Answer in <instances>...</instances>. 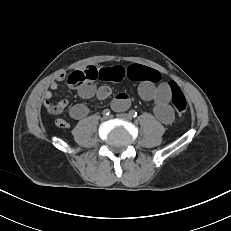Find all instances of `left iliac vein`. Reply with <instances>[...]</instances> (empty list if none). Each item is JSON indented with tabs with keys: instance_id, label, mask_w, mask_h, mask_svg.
<instances>
[{
	"instance_id": "obj_1",
	"label": "left iliac vein",
	"mask_w": 231,
	"mask_h": 231,
	"mask_svg": "<svg viewBox=\"0 0 231 231\" xmlns=\"http://www.w3.org/2000/svg\"><path fill=\"white\" fill-rule=\"evenodd\" d=\"M117 116H118L119 118L124 119V120H127V121H130V120H131L130 114H127V113H121V114H118Z\"/></svg>"
}]
</instances>
